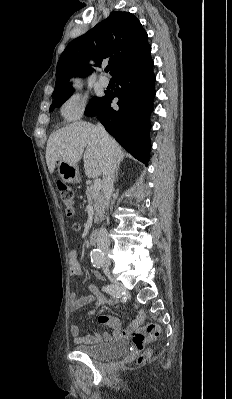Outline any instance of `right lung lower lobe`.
Returning a JSON list of instances; mask_svg holds the SVG:
<instances>
[{"label": "right lung lower lobe", "mask_w": 232, "mask_h": 399, "mask_svg": "<svg viewBox=\"0 0 232 399\" xmlns=\"http://www.w3.org/2000/svg\"><path fill=\"white\" fill-rule=\"evenodd\" d=\"M113 78L117 85L114 92H106L99 106L86 115L94 117L136 159L148 165L150 154L149 115L153 111L155 96L153 60L150 53L121 66ZM117 97L119 110L110 103Z\"/></svg>", "instance_id": "1"}]
</instances>
